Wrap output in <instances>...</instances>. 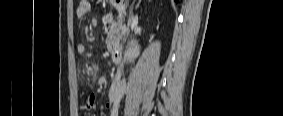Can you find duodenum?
<instances>
[{
	"label": "duodenum",
	"instance_id": "410a0bca",
	"mask_svg": "<svg viewBox=\"0 0 283 116\" xmlns=\"http://www.w3.org/2000/svg\"><path fill=\"white\" fill-rule=\"evenodd\" d=\"M115 9L120 15L125 13V7L122 4L116 5ZM112 58L118 64H125L128 62L127 52L120 47L113 50ZM125 85V82L121 78H116L113 82L112 90H114L117 86L124 87Z\"/></svg>",
	"mask_w": 283,
	"mask_h": 116
}]
</instances>
